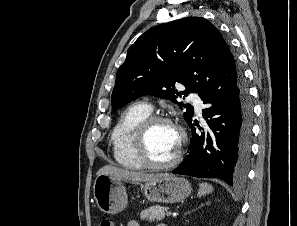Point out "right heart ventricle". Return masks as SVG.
I'll use <instances>...</instances> for the list:
<instances>
[{
	"mask_svg": "<svg viewBox=\"0 0 297 226\" xmlns=\"http://www.w3.org/2000/svg\"><path fill=\"white\" fill-rule=\"evenodd\" d=\"M151 114V108L143 102L127 107L117 121L111 135L113 157L122 167L141 169L143 164L135 156L132 139L138 124Z\"/></svg>",
	"mask_w": 297,
	"mask_h": 226,
	"instance_id": "obj_1",
	"label": "right heart ventricle"
}]
</instances>
